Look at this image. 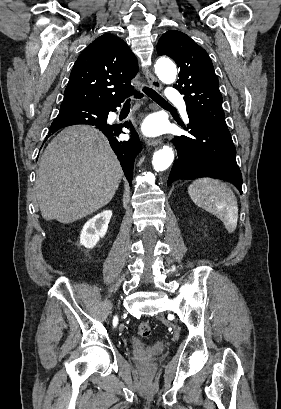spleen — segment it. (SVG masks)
<instances>
[{
	"instance_id": "spleen-1",
	"label": "spleen",
	"mask_w": 281,
	"mask_h": 409,
	"mask_svg": "<svg viewBox=\"0 0 281 409\" xmlns=\"http://www.w3.org/2000/svg\"><path fill=\"white\" fill-rule=\"evenodd\" d=\"M193 202L216 215L228 233H234L238 221L237 198L226 182L215 178H198L188 186Z\"/></svg>"
}]
</instances>
